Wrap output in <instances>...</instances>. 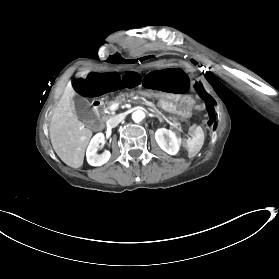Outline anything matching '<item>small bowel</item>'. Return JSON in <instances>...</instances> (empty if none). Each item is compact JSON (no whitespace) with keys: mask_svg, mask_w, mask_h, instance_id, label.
<instances>
[{"mask_svg":"<svg viewBox=\"0 0 279 279\" xmlns=\"http://www.w3.org/2000/svg\"><path fill=\"white\" fill-rule=\"evenodd\" d=\"M145 89L157 93L183 94L189 85L188 76L176 68H161L145 74L142 78Z\"/></svg>","mask_w":279,"mask_h":279,"instance_id":"c3829d8e","label":"small bowel"}]
</instances>
